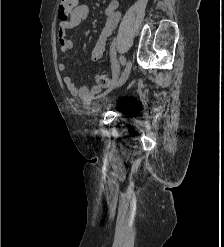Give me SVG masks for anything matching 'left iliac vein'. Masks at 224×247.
I'll return each mask as SVG.
<instances>
[{"label": "left iliac vein", "mask_w": 224, "mask_h": 247, "mask_svg": "<svg viewBox=\"0 0 224 247\" xmlns=\"http://www.w3.org/2000/svg\"><path fill=\"white\" fill-rule=\"evenodd\" d=\"M131 69H132V62H131V60H128V62L126 63L125 69H124L120 79L118 80V83H117L118 87L122 86L126 82L128 77L130 76Z\"/></svg>", "instance_id": "left-iliac-vein-1"}]
</instances>
